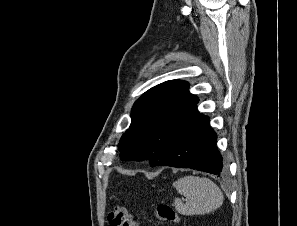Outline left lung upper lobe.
Segmentation results:
<instances>
[{"label": "left lung upper lobe", "mask_w": 297, "mask_h": 226, "mask_svg": "<svg viewBox=\"0 0 297 226\" xmlns=\"http://www.w3.org/2000/svg\"><path fill=\"white\" fill-rule=\"evenodd\" d=\"M188 87L185 81H166L134 103L130 127L118 145L121 159H148L151 166L156 165L199 101Z\"/></svg>", "instance_id": "5c2ea615"}]
</instances>
